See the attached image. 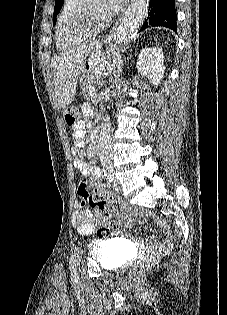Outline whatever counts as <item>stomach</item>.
I'll use <instances>...</instances> for the list:
<instances>
[{"label":"stomach","mask_w":227,"mask_h":315,"mask_svg":"<svg viewBox=\"0 0 227 315\" xmlns=\"http://www.w3.org/2000/svg\"><path fill=\"white\" fill-rule=\"evenodd\" d=\"M83 76V80H78L77 85L80 87L81 91H88V82L94 81V69L88 62L86 63V68L83 70Z\"/></svg>","instance_id":"obj_1"}]
</instances>
